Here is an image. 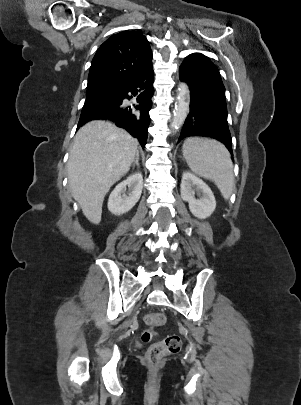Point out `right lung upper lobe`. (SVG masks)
I'll list each match as a JSON object with an SVG mask.
<instances>
[{"label":"right lung upper lobe","instance_id":"right-lung-upper-lobe-1","mask_svg":"<svg viewBox=\"0 0 301 405\" xmlns=\"http://www.w3.org/2000/svg\"><path fill=\"white\" fill-rule=\"evenodd\" d=\"M152 63L146 37L137 31H122L108 38L97 50L89 71L87 91L119 92Z\"/></svg>","mask_w":301,"mask_h":405}]
</instances>
